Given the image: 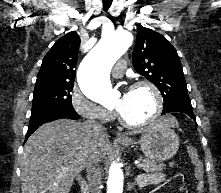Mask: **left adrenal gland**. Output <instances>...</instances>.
<instances>
[{
    "instance_id": "1",
    "label": "left adrenal gland",
    "mask_w": 221,
    "mask_h": 193,
    "mask_svg": "<svg viewBox=\"0 0 221 193\" xmlns=\"http://www.w3.org/2000/svg\"><path fill=\"white\" fill-rule=\"evenodd\" d=\"M128 173L130 174V171H128ZM131 176H133V175L131 174Z\"/></svg>"
}]
</instances>
